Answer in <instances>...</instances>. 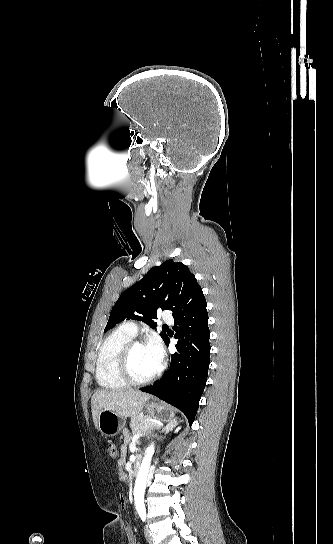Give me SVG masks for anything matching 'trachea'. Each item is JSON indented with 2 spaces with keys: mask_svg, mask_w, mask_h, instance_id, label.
<instances>
[{
  "mask_svg": "<svg viewBox=\"0 0 333 544\" xmlns=\"http://www.w3.org/2000/svg\"><path fill=\"white\" fill-rule=\"evenodd\" d=\"M163 327L168 328V325L165 324V325H163Z\"/></svg>",
  "mask_w": 333,
  "mask_h": 544,
  "instance_id": "obj_1",
  "label": "trachea"
}]
</instances>
